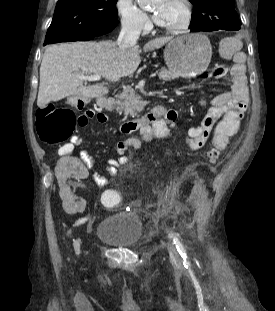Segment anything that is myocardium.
<instances>
[{"instance_id": "obj_1", "label": "myocardium", "mask_w": 275, "mask_h": 311, "mask_svg": "<svg viewBox=\"0 0 275 311\" xmlns=\"http://www.w3.org/2000/svg\"><path fill=\"white\" fill-rule=\"evenodd\" d=\"M179 3L182 4L184 8V20L182 21L181 24L177 26H163L159 25L160 28L168 33H179L182 32L190 26L193 18V9H192V4L190 0H177Z\"/></svg>"}]
</instances>
